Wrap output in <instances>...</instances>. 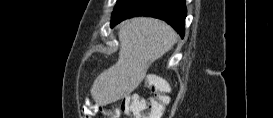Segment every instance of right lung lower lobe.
<instances>
[{
  "label": "right lung lower lobe",
  "mask_w": 273,
  "mask_h": 118,
  "mask_svg": "<svg viewBox=\"0 0 273 118\" xmlns=\"http://www.w3.org/2000/svg\"><path fill=\"white\" fill-rule=\"evenodd\" d=\"M187 10L185 0H124L113 11L111 27L134 16H149L166 21L184 37Z\"/></svg>",
  "instance_id": "obj_1"
}]
</instances>
